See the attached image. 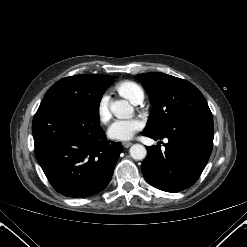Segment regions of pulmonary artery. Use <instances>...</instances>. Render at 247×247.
Here are the masks:
<instances>
[{"instance_id":"1","label":"pulmonary artery","mask_w":247,"mask_h":247,"mask_svg":"<svg viewBox=\"0 0 247 247\" xmlns=\"http://www.w3.org/2000/svg\"><path fill=\"white\" fill-rule=\"evenodd\" d=\"M142 101H143V97H140L134 102V104H140Z\"/></svg>"}]
</instances>
